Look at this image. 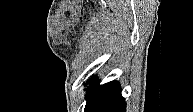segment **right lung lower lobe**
<instances>
[{"instance_id": "right-lung-lower-lobe-1", "label": "right lung lower lobe", "mask_w": 193, "mask_h": 112, "mask_svg": "<svg viewBox=\"0 0 193 112\" xmlns=\"http://www.w3.org/2000/svg\"><path fill=\"white\" fill-rule=\"evenodd\" d=\"M87 91L84 112H125L126 102L121 95L120 84L116 81L99 85L93 80Z\"/></svg>"}]
</instances>
